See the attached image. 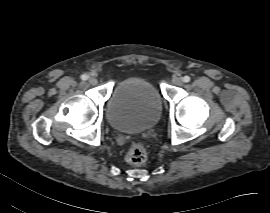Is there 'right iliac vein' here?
Masks as SVG:
<instances>
[{
	"instance_id": "obj_1",
	"label": "right iliac vein",
	"mask_w": 270,
	"mask_h": 213,
	"mask_svg": "<svg viewBox=\"0 0 270 213\" xmlns=\"http://www.w3.org/2000/svg\"><path fill=\"white\" fill-rule=\"evenodd\" d=\"M88 81H89V83H90L91 85H96V84L98 83L96 77H93V76L90 77V78L88 79Z\"/></svg>"
}]
</instances>
